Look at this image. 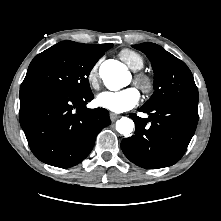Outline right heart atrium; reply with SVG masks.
Wrapping results in <instances>:
<instances>
[{
  "label": "right heart atrium",
  "mask_w": 221,
  "mask_h": 221,
  "mask_svg": "<svg viewBox=\"0 0 221 221\" xmlns=\"http://www.w3.org/2000/svg\"><path fill=\"white\" fill-rule=\"evenodd\" d=\"M99 64H100L99 61L95 62L87 73V81H88L89 85L94 89H96L98 87Z\"/></svg>",
  "instance_id": "1"
}]
</instances>
